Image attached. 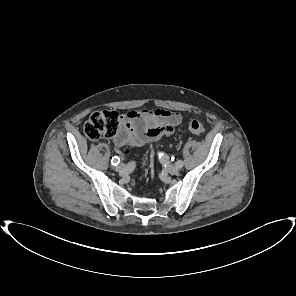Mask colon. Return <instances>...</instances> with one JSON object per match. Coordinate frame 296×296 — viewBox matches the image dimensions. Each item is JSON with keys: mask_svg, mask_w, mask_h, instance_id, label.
Segmentation results:
<instances>
[{"mask_svg": "<svg viewBox=\"0 0 296 296\" xmlns=\"http://www.w3.org/2000/svg\"><path fill=\"white\" fill-rule=\"evenodd\" d=\"M120 115L116 111H97L91 114L85 122L83 130L86 137L92 141L101 139L102 137L115 136L120 125ZM191 133L201 136L204 134V127L201 122L192 120L188 124ZM132 146L127 145L124 149L125 154H130Z\"/></svg>", "mask_w": 296, "mask_h": 296, "instance_id": "1", "label": "colon"}]
</instances>
